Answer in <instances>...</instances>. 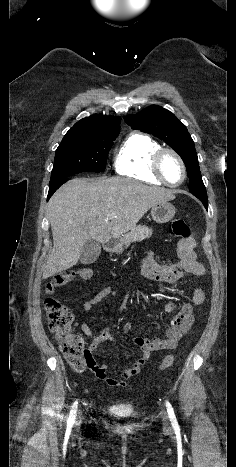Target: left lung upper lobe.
<instances>
[{"label":"left lung upper lobe","instance_id":"obj_1","mask_svg":"<svg viewBox=\"0 0 236 467\" xmlns=\"http://www.w3.org/2000/svg\"><path fill=\"white\" fill-rule=\"evenodd\" d=\"M125 122L132 129L153 134L175 150L187 167L191 193H206L198 164L194 142L186 126L170 111L152 105L135 116H126Z\"/></svg>","mask_w":236,"mask_h":467}]
</instances>
